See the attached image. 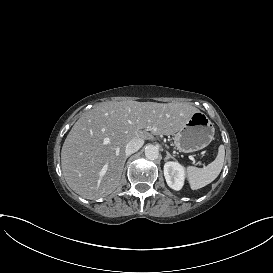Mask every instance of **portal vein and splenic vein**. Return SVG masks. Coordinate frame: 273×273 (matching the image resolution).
Wrapping results in <instances>:
<instances>
[{"label":"portal vein and splenic vein","mask_w":273,"mask_h":273,"mask_svg":"<svg viewBox=\"0 0 273 273\" xmlns=\"http://www.w3.org/2000/svg\"><path fill=\"white\" fill-rule=\"evenodd\" d=\"M189 158H190L193 162H196V161H197V158H196V157H192V158H191V156H189ZM106 171H107V169L102 168L101 173L105 174Z\"/></svg>","instance_id":"obj_1"}]
</instances>
